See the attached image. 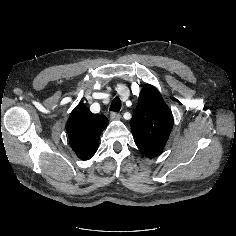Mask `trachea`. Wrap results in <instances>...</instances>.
<instances>
[{"instance_id": "1", "label": "trachea", "mask_w": 236, "mask_h": 236, "mask_svg": "<svg viewBox=\"0 0 236 236\" xmlns=\"http://www.w3.org/2000/svg\"><path fill=\"white\" fill-rule=\"evenodd\" d=\"M121 109V100L119 97H115L110 105V111L118 112Z\"/></svg>"}]
</instances>
